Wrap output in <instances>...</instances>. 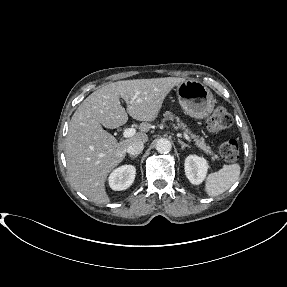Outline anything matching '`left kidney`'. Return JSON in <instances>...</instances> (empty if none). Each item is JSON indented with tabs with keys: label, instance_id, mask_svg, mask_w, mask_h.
Masks as SVG:
<instances>
[{
	"label": "left kidney",
	"instance_id": "left-kidney-1",
	"mask_svg": "<svg viewBox=\"0 0 287 287\" xmlns=\"http://www.w3.org/2000/svg\"><path fill=\"white\" fill-rule=\"evenodd\" d=\"M185 174L192 184L199 185L206 177L208 170L207 161L196 155H189L184 163Z\"/></svg>",
	"mask_w": 287,
	"mask_h": 287
}]
</instances>
